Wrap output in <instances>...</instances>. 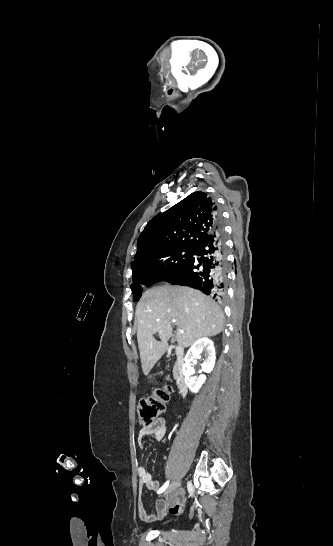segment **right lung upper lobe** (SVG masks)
Here are the masks:
<instances>
[{"label": "right lung upper lobe", "mask_w": 333, "mask_h": 546, "mask_svg": "<svg viewBox=\"0 0 333 546\" xmlns=\"http://www.w3.org/2000/svg\"><path fill=\"white\" fill-rule=\"evenodd\" d=\"M216 203L204 192H194L156 215L145 226L137 241L132 271L142 270L158 255L168 250L194 247L215 228Z\"/></svg>", "instance_id": "right-lung-upper-lobe-1"}]
</instances>
